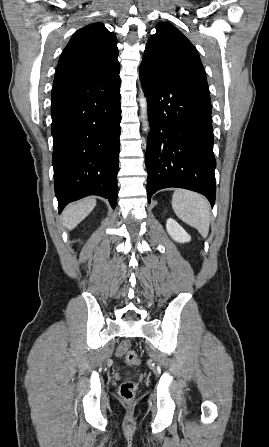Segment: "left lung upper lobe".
Masks as SVG:
<instances>
[{
	"label": "left lung upper lobe",
	"instance_id": "left-lung-upper-lobe-1",
	"mask_svg": "<svg viewBox=\"0 0 269 447\" xmlns=\"http://www.w3.org/2000/svg\"><path fill=\"white\" fill-rule=\"evenodd\" d=\"M147 44L142 62L154 69L204 89L208 84L199 54L191 42L173 25L159 23Z\"/></svg>",
	"mask_w": 269,
	"mask_h": 447
}]
</instances>
